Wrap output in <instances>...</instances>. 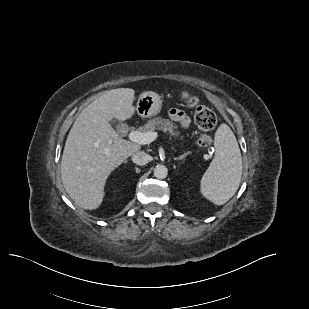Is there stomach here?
<instances>
[{
    "label": "stomach",
    "instance_id": "obj_1",
    "mask_svg": "<svg viewBox=\"0 0 309 309\" xmlns=\"http://www.w3.org/2000/svg\"><path fill=\"white\" fill-rule=\"evenodd\" d=\"M136 109L142 118L157 115L162 109L161 97L152 91L142 92L139 95Z\"/></svg>",
    "mask_w": 309,
    "mask_h": 309
}]
</instances>
